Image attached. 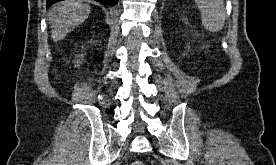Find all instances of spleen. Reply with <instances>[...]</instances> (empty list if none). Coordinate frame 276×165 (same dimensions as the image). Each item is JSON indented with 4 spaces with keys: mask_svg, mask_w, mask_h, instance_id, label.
Segmentation results:
<instances>
[{
    "mask_svg": "<svg viewBox=\"0 0 276 165\" xmlns=\"http://www.w3.org/2000/svg\"><path fill=\"white\" fill-rule=\"evenodd\" d=\"M201 12L204 28L210 32H219L224 24L226 10L223 0H195Z\"/></svg>",
    "mask_w": 276,
    "mask_h": 165,
    "instance_id": "obj_1",
    "label": "spleen"
}]
</instances>
